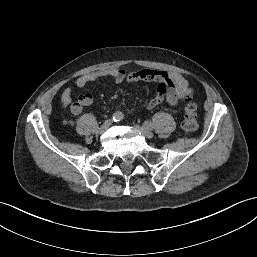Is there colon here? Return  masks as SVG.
Instances as JSON below:
<instances>
[{
	"instance_id": "colon-1",
	"label": "colon",
	"mask_w": 257,
	"mask_h": 257,
	"mask_svg": "<svg viewBox=\"0 0 257 257\" xmlns=\"http://www.w3.org/2000/svg\"><path fill=\"white\" fill-rule=\"evenodd\" d=\"M197 127L198 119L196 114V106L191 99H188L181 128L185 134H191L196 131Z\"/></svg>"
}]
</instances>
